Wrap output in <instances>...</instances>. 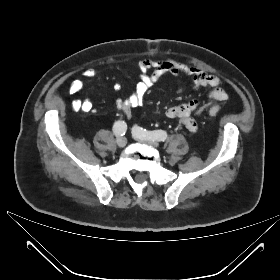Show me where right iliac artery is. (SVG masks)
<instances>
[{
  "mask_svg": "<svg viewBox=\"0 0 280 280\" xmlns=\"http://www.w3.org/2000/svg\"><path fill=\"white\" fill-rule=\"evenodd\" d=\"M127 125L124 121H117L113 125V132L116 136H123L126 133Z\"/></svg>",
  "mask_w": 280,
  "mask_h": 280,
  "instance_id": "right-iliac-artery-1",
  "label": "right iliac artery"
}]
</instances>
